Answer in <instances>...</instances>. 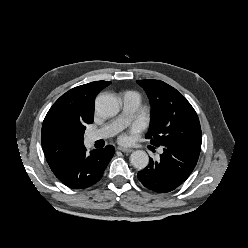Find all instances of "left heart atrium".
I'll use <instances>...</instances> for the list:
<instances>
[{
	"instance_id": "1",
	"label": "left heart atrium",
	"mask_w": 248,
	"mask_h": 248,
	"mask_svg": "<svg viewBox=\"0 0 248 248\" xmlns=\"http://www.w3.org/2000/svg\"><path fill=\"white\" fill-rule=\"evenodd\" d=\"M135 132L136 130H134L132 133H135ZM119 140L121 143H128L130 141V134H122Z\"/></svg>"
}]
</instances>
